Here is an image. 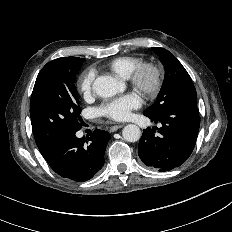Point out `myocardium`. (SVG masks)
I'll return each mask as SVG.
<instances>
[{"label": "myocardium", "mask_w": 232, "mask_h": 232, "mask_svg": "<svg viewBox=\"0 0 232 232\" xmlns=\"http://www.w3.org/2000/svg\"><path fill=\"white\" fill-rule=\"evenodd\" d=\"M133 88L145 97H154L161 90L163 73L159 65L153 62L140 63L130 74Z\"/></svg>", "instance_id": "1"}]
</instances>
